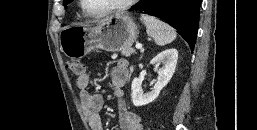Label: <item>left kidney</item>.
<instances>
[{
	"label": "left kidney",
	"instance_id": "obj_1",
	"mask_svg": "<svg viewBox=\"0 0 257 130\" xmlns=\"http://www.w3.org/2000/svg\"><path fill=\"white\" fill-rule=\"evenodd\" d=\"M178 60V51L170 48L162 51L151 60L155 65L154 70L158 73V80L153 88L144 93L138 78H134L131 85V98L134 106H143L153 102L159 95L160 91L168 84L172 78ZM162 64V67L159 65Z\"/></svg>",
	"mask_w": 257,
	"mask_h": 130
}]
</instances>
